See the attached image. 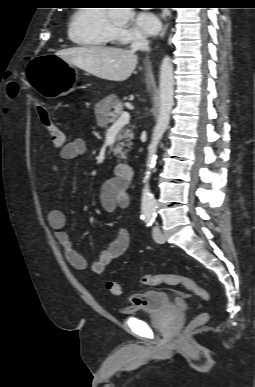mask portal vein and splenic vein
Listing matches in <instances>:
<instances>
[{"label": "portal vein and splenic vein", "instance_id": "1", "mask_svg": "<svg viewBox=\"0 0 255 387\" xmlns=\"http://www.w3.org/2000/svg\"><path fill=\"white\" fill-rule=\"evenodd\" d=\"M130 121V114L128 112H123L121 116L113 124V127H122L128 124Z\"/></svg>", "mask_w": 255, "mask_h": 387}]
</instances>
